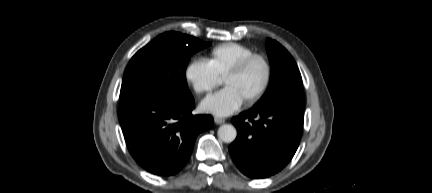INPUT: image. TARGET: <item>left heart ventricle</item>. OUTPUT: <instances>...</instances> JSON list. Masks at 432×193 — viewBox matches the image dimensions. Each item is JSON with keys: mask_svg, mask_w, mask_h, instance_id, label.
Listing matches in <instances>:
<instances>
[{"mask_svg": "<svg viewBox=\"0 0 432 193\" xmlns=\"http://www.w3.org/2000/svg\"><path fill=\"white\" fill-rule=\"evenodd\" d=\"M263 78L264 68L261 64H257L255 66L254 72L252 73V75L249 76V78H247L246 80L238 79L233 82V85L240 88L245 96H248L256 93L260 89Z\"/></svg>", "mask_w": 432, "mask_h": 193, "instance_id": "b2bd125f", "label": "left heart ventricle"}]
</instances>
